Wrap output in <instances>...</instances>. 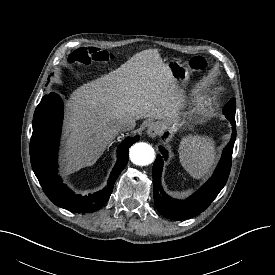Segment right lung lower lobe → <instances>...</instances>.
Returning a JSON list of instances; mask_svg holds the SVG:
<instances>
[{
    "instance_id": "1",
    "label": "right lung lower lobe",
    "mask_w": 275,
    "mask_h": 275,
    "mask_svg": "<svg viewBox=\"0 0 275 275\" xmlns=\"http://www.w3.org/2000/svg\"><path fill=\"white\" fill-rule=\"evenodd\" d=\"M63 119V104L56 93L45 95L33 116L30 141L32 169L47 197L57 206L76 213H90L100 209L109 199L114 183L128 163L129 147L139 136L125 139L117 150V163L107 186L89 196L74 194L63 184L57 172V153Z\"/></svg>"
}]
</instances>
